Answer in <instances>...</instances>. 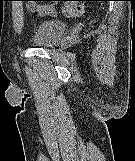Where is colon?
<instances>
[{"instance_id":"1","label":"colon","mask_w":135,"mask_h":161,"mask_svg":"<svg viewBox=\"0 0 135 161\" xmlns=\"http://www.w3.org/2000/svg\"><path fill=\"white\" fill-rule=\"evenodd\" d=\"M50 1H63L62 13L67 17H77L84 13L85 8L83 5L78 4L74 0H50Z\"/></svg>"}]
</instances>
